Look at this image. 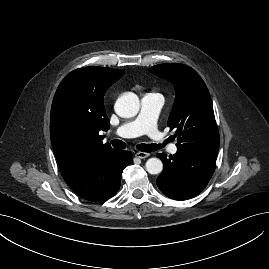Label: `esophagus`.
<instances>
[{"label": "esophagus", "instance_id": "34e87169", "mask_svg": "<svg viewBox=\"0 0 269 269\" xmlns=\"http://www.w3.org/2000/svg\"><path fill=\"white\" fill-rule=\"evenodd\" d=\"M149 153H146V152H136L135 153V157L136 158H139V159H144V158H147L149 157Z\"/></svg>", "mask_w": 269, "mask_h": 269}]
</instances>
